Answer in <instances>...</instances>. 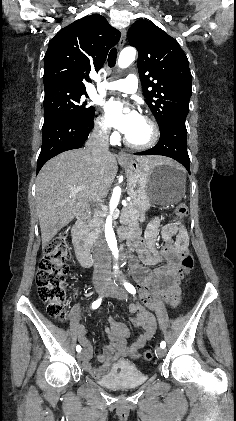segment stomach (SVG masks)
Masks as SVG:
<instances>
[{"mask_svg": "<svg viewBox=\"0 0 236 421\" xmlns=\"http://www.w3.org/2000/svg\"><path fill=\"white\" fill-rule=\"evenodd\" d=\"M119 162L128 176V194L140 213L152 204H175L183 198L186 176L180 168L172 164L142 166L132 156Z\"/></svg>", "mask_w": 236, "mask_h": 421, "instance_id": "stomach-1", "label": "stomach"}]
</instances>
